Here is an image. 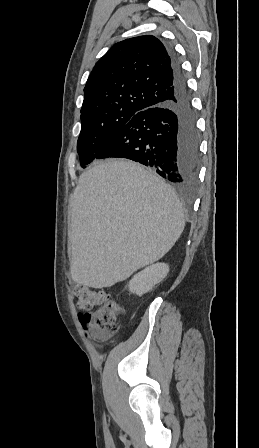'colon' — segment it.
Returning a JSON list of instances; mask_svg holds the SVG:
<instances>
[{"mask_svg":"<svg viewBox=\"0 0 259 448\" xmlns=\"http://www.w3.org/2000/svg\"><path fill=\"white\" fill-rule=\"evenodd\" d=\"M75 296L84 311L79 316L80 322L95 338L105 340L117 333V319L124 313V307L116 299L104 290L82 285L75 288Z\"/></svg>","mask_w":259,"mask_h":448,"instance_id":"colon-1","label":"colon"}]
</instances>
